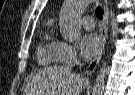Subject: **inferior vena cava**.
<instances>
[{"mask_svg":"<svg viewBox=\"0 0 135 95\" xmlns=\"http://www.w3.org/2000/svg\"><path fill=\"white\" fill-rule=\"evenodd\" d=\"M75 63H76V64H79V61L76 60Z\"/></svg>","mask_w":135,"mask_h":95,"instance_id":"602c4592","label":"inferior vena cava"}]
</instances>
